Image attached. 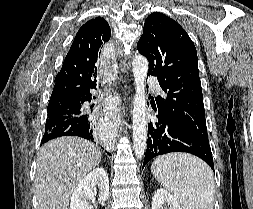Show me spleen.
<instances>
[{
	"label": "spleen",
	"instance_id": "spleen-1",
	"mask_svg": "<svg viewBox=\"0 0 253 209\" xmlns=\"http://www.w3.org/2000/svg\"><path fill=\"white\" fill-rule=\"evenodd\" d=\"M151 172L183 209H213V173L199 158L185 153L162 155L152 163Z\"/></svg>",
	"mask_w": 253,
	"mask_h": 209
}]
</instances>
